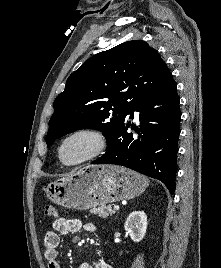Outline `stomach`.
<instances>
[{
    "mask_svg": "<svg viewBox=\"0 0 221 268\" xmlns=\"http://www.w3.org/2000/svg\"><path fill=\"white\" fill-rule=\"evenodd\" d=\"M147 186L142 175L114 165H88L50 183L45 193L55 204L85 210L140 195Z\"/></svg>",
    "mask_w": 221,
    "mask_h": 268,
    "instance_id": "stomach-1",
    "label": "stomach"
}]
</instances>
